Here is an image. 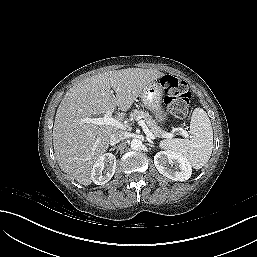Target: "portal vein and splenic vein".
Returning a JSON list of instances; mask_svg holds the SVG:
<instances>
[{"label":"portal vein and splenic vein","mask_w":257,"mask_h":257,"mask_svg":"<svg viewBox=\"0 0 257 257\" xmlns=\"http://www.w3.org/2000/svg\"><path fill=\"white\" fill-rule=\"evenodd\" d=\"M113 93V92H111ZM84 122L86 123H93L95 125H112L116 126L120 129L124 128V125L120 122H118L116 119L112 117V112L108 111L104 114L103 117L98 118H84ZM139 125L142 127L143 131L149 137L150 139L154 140L156 137L153 135V133L148 129L147 125L145 124L144 120L138 121ZM180 134H182L185 138H187L188 132L186 130L180 129ZM173 136L172 133H164V138H171Z\"/></svg>","instance_id":"1"}]
</instances>
